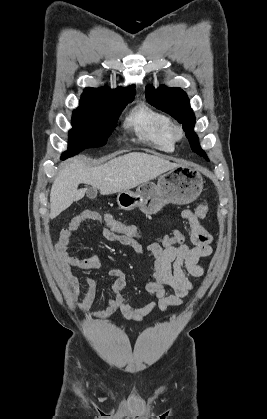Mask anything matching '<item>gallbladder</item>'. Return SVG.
<instances>
[{"label":"gallbladder","instance_id":"gallbladder-1","mask_svg":"<svg viewBox=\"0 0 267 419\" xmlns=\"http://www.w3.org/2000/svg\"><path fill=\"white\" fill-rule=\"evenodd\" d=\"M86 194L89 198L94 199L97 196V189L94 187L86 189Z\"/></svg>","mask_w":267,"mask_h":419}]
</instances>
